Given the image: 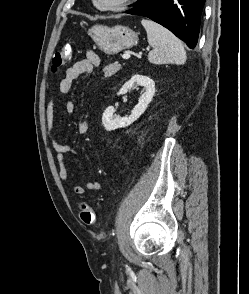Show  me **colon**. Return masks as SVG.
<instances>
[{"instance_id": "5ec220e1", "label": "colon", "mask_w": 249, "mask_h": 294, "mask_svg": "<svg viewBox=\"0 0 249 294\" xmlns=\"http://www.w3.org/2000/svg\"><path fill=\"white\" fill-rule=\"evenodd\" d=\"M70 57V45L67 44L59 47L53 58L52 69L56 71L62 68L70 61ZM79 217L82 223L88 226L93 225L96 222V214L94 209L85 202L80 204Z\"/></svg>"}]
</instances>
